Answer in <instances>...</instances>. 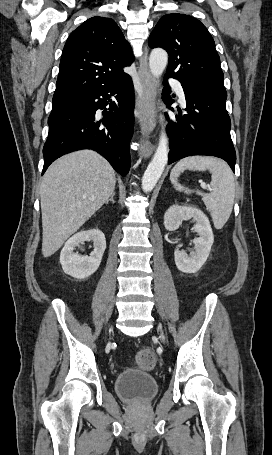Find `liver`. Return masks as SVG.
Returning a JSON list of instances; mask_svg holds the SVG:
<instances>
[{
  "instance_id": "liver-1",
  "label": "liver",
  "mask_w": 272,
  "mask_h": 455,
  "mask_svg": "<svg viewBox=\"0 0 272 455\" xmlns=\"http://www.w3.org/2000/svg\"><path fill=\"white\" fill-rule=\"evenodd\" d=\"M115 172L92 150L55 161L40 186L42 254L53 255L114 193Z\"/></svg>"
}]
</instances>
